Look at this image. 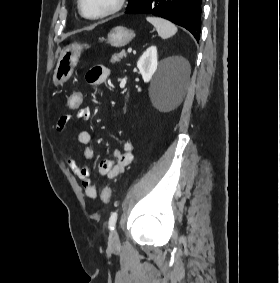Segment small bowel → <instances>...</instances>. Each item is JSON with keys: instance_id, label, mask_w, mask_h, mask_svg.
<instances>
[{"instance_id": "small-bowel-1", "label": "small bowel", "mask_w": 280, "mask_h": 283, "mask_svg": "<svg viewBox=\"0 0 280 283\" xmlns=\"http://www.w3.org/2000/svg\"><path fill=\"white\" fill-rule=\"evenodd\" d=\"M109 76V70L106 67H96L86 75L87 82L93 86L102 85ZM91 115L89 108H78L76 117L81 120L89 119ZM71 117L65 115L59 118L56 123V130L62 132ZM78 141L84 146L83 157L86 160H92L95 157V150L91 147V134L88 131H80ZM133 153L130 142H125L123 149H115L111 157L101 159L98 163V172L105 178V181H112L123 173L125 167L132 162ZM67 166L81 180V186L89 198L97 196V186L90 179V169L86 164H81L72 157L66 159Z\"/></svg>"}]
</instances>
